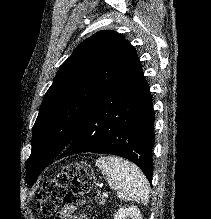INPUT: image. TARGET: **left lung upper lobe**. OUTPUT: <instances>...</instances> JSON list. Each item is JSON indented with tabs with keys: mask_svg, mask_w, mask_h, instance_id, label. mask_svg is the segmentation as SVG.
<instances>
[{
	"mask_svg": "<svg viewBox=\"0 0 211 219\" xmlns=\"http://www.w3.org/2000/svg\"><path fill=\"white\" fill-rule=\"evenodd\" d=\"M137 58L134 47L113 31H100L74 50L45 94L33 126L32 152L26 163L28 184L44 169L32 155L43 149L55 157L87 112Z\"/></svg>",
	"mask_w": 211,
	"mask_h": 219,
	"instance_id": "1",
	"label": "left lung upper lobe"
}]
</instances>
